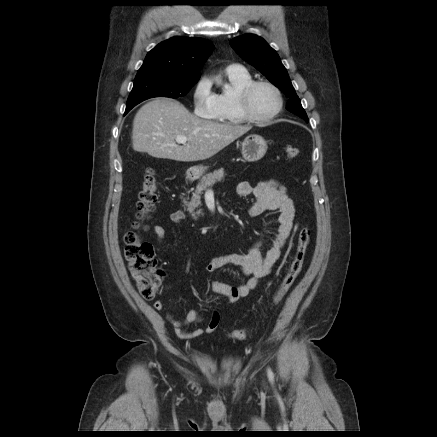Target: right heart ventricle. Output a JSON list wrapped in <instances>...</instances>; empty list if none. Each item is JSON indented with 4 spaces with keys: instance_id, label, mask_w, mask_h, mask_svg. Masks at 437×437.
Returning <instances> with one entry per match:
<instances>
[{
    "instance_id": "e07e8e85",
    "label": "right heart ventricle",
    "mask_w": 437,
    "mask_h": 437,
    "mask_svg": "<svg viewBox=\"0 0 437 437\" xmlns=\"http://www.w3.org/2000/svg\"><path fill=\"white\" fill-rule=\"evenodd\" d=\"M224 76L228 86L216 94L217 112L214 119L227 124L245 123L247 120L240 111L238 96L240 91L253 81V78L242 67H228Z\"/></svg>"
}]
</instances>
